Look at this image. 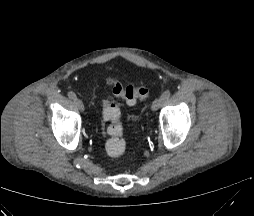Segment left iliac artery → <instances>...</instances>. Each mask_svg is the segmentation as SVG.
Masks as SVG:
<instances>
[{
	"label": "left iliac artery",
	"mask_w": 254,
	"mask_h": 216,
	"mask_svg": "<svg viewBox=\"0 0 254 216\" xmlns=\"http://www.w3.org/2000/svg\"><path fill=\"white\" fill-rule=\"evenodd\" d=\"M170 95H171L170 90H166V91L162 94L161 98L165 101V100H167V99L170 97Z\"/></svg>",
	"instance_id": "1"
}]
</instances>
